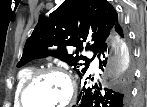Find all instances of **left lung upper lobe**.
I'll return each mask as SVG.
<instances>
[{"mask_svg":"<svg viewBox=\"0 0 147 107\" xmlns=\"http://www.w3.org/2000/svg\"><path fill=\"white\" fill-rule=\"evenodd\" d=\"M118 21V13L106 0H65L49 17L39 18L17 67L53 56L74 66L81 77ZM83 49L93 51V58L80 55Z\"/></svg>","mask_w":147,"mask_h":107,"instance_id":"obj_1","label":"left lung upper lobe"}]
</instances>
